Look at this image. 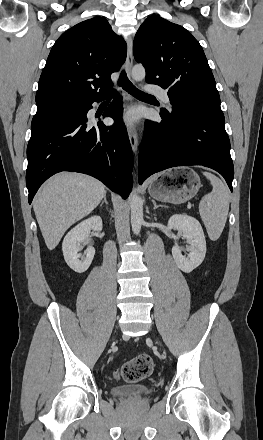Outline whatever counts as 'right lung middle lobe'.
Here are the masks:
<instances>
[{
    "label": "right lung middle lobe",
    "instance_id": "dd1d6c3e",
    "mask_svg": "<svg viewBox=\"0 0 263 440\" xmlns=\"http://www.w3.org/2000/svg\"><path fill=\"white\" fill-rule=\"evenodd\" d=\"M81 114L78 102L54 103L37 108L31 123V137L40 134L53 125L70 119H76Z\"/></svg>",
    "mask_w": 263,
    "mask_h": 440
}]
</instances>
